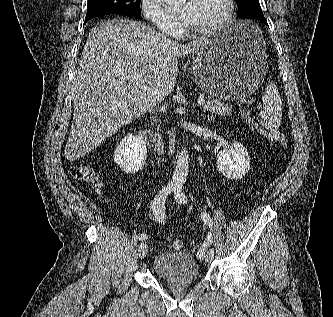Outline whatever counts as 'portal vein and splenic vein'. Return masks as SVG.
Masks as SVG:
<instances>
[{
    "label": "portal vein and splenic vein",
    "instance_id": "portal-vein-and-splenic-vein-1",
    "mask_svg": "<svg viewBox=\"0 0 333 317\" xmlns=\"http://www.w3.org/2000/svg\"><path fill=\"white\" fill-rule=\"evenodd\" d=\"M198 104H200V105H205V104H206L205 99H204L203 97L200 98V99H198ZM260 108H261V106L258 105V106H257V109H260Z\"/></svg>",
    "mask_w": 333,
    "mask_h": 317
}]
</instances>
